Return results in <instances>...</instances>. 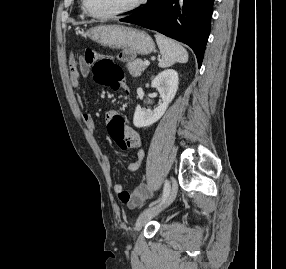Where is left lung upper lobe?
Returning <instances> with one entry per match:
<instances>
[{
	"mask_svg": "<svg viewBox=\"0 0 286 269\" xmlns=\"http://www.w3.org/2000/svg\"><path fill=\"white\" fill-rule=\"evenodd\" d=\"M138 9H140V7H138L136 10H138ZM136 10H133V11H131V12H134V11H136Z\"/></svg>",
	"mask_w": 286,
	"mask_h": 269,
	"instance_id": "left-lung-upper-lobe-1",
	"label": "left lung upper lobe"
}]
</instances>
